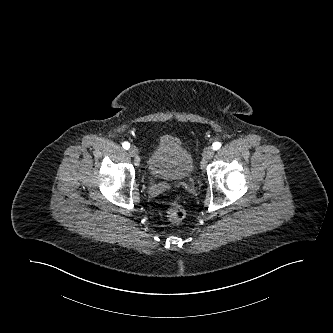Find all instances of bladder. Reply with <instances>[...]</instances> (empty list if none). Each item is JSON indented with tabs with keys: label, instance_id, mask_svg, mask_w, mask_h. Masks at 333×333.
Returning a JSON list of instances; mask_svg holds the SVG:
<instances>
[{
	"label": "bladder",
	"instance_id": "1",
	"mask_svg": "<svg viewBox=\"0 0 333 333\" xmlns=\"http://www.w3.org/2000/svg\"><path fill=\"white\" fill-rule=\"evenodd\" d=\"M193 168L192 154L178 137L162 134L156 139L147 160V171L152 178L179 182L190 177Z\"/></svg>",
	"mask_w": 333,
	"mask_h": 333
}]
</instances>
